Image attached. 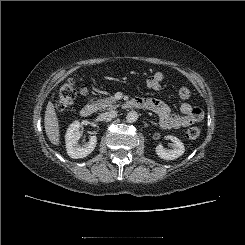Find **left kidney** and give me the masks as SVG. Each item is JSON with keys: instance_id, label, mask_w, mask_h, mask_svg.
<instances>
[{"instance_id": "5707ae66", "label": "left kidney", "mask_w": 245, "mask_h": 245, "mask_svg": "<svg viewBox=\"0 0 245 245\" xmlns=\"http://www.w3.org/2000/svg\"><path fill=\"white\" fill-rule=\"evenodd\" d=\"M167 138L173 142L172 144L173 149L166 150L165 148H163L161 144H159L155 150L156 154L161 159H164V160H174L180 157L181 155H183L185 152V147H184V144L181 142V140L171 135L167 136Z\"/></svg>"}]
</instances>
